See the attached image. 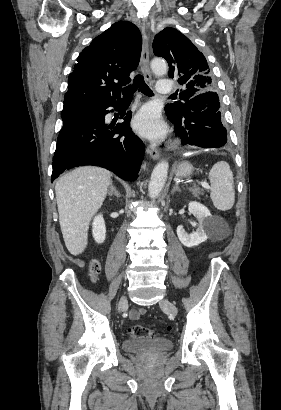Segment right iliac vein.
<instances>
[{
    "label": "right iliac vein",
    "instance_id": "1",
    "mask_svg": "<svg viewBox=\"0 0 281 410\" xmlns=\"http://www.w3.org/2000/svg\"><path fill=\"white\" fill-rule=\"evenodd\" d=\"M126 306H127V299L125 296H123L119 301V305H118L119 312H122Z\"/></svg>",
    "mask_w": 281,
    "mask_h": 410
}]
</instances>
